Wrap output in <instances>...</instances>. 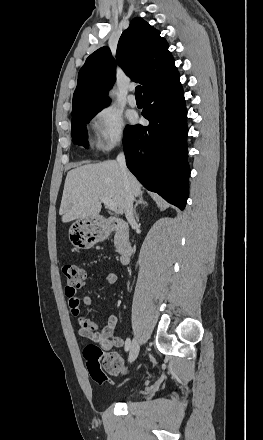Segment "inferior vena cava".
<instances>
[{"mask_svg":"<svg viewBox=\"0 0 263 440\" xmlns=\"http://www.w3.org/2000/svg\"><path fill=\"white\" fill-rule=\"evenodd\" d=\"M117 162L119 164L120 170L122 172L124 183H125V216L128 222L131 224L134 222L133 214V201L134 196L129 187V171L126 166V159L123 153L117 156Z\"/></svg>","mask_w":263,"mask_h":440,"instance_id":"602c4592","label":"inferior vena cava"}]
</instances>
